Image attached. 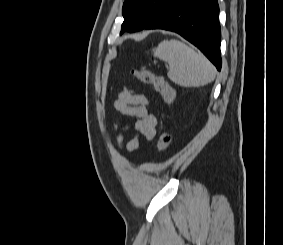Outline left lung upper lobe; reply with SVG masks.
<instances>
[{
    "label": "left lung upper lobe",
    "mask_w": 283,
    "mask_h": 245,
    "mask_svg": "<svg viewBox=\"0 0 283 245\" xmlns=\"http://www.w3.org/2000/svg\"><path fill=\"white\" fill-rule=\"evenodd\" d=\"M173 0H125L121 33L144 29L153 22Z\"/></svg>",
    "instance_id": "left-lung-upper-lobe-1"
}]
</instances>
